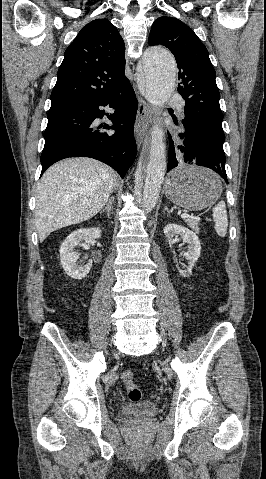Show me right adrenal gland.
Wrapping results in <instances>:
<instances>
[{
    "label": "right adrenal gland",
    "instance_id": "obj_1",
    "mask_svg": "<svg viewBox=\"0 0 266 479\" xmlns=\"http://www.w3.org/2000/svg\"><path fill=\"white\" fill-rule=\"evenodd\" d=\"M113 202H114V199H113V198H110V199L108 200L107 204H106V207H105L103 210H101L100 213L105 212V213L107 214V216L110 217V211H111V209H112Z\"/></svg>",
    "mask_w": 266,
    "mask_h": 479
}]
</instances>
